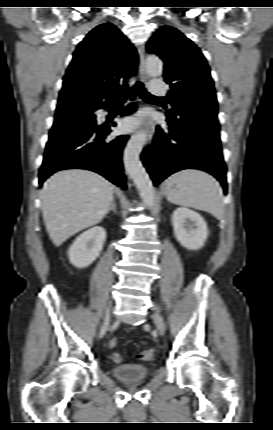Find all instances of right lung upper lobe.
Here are the masks:
<instances>
[{
    "mask_svg": "<svg viewBox=\"0 0 273 430\" xmlns=\"http://www.w3.org/2000/svg\"><path fill=\"white\" fill-rule=\"evenodd\" d=\"M138 56L129 40L111 23L94 28L77 46L59 94L58 107L71 100L91 106L110 103L126 68L137 71Z\"/></svg>",
    "mask_w": 273,
    "mask_h": 430,
    "instance_id": "obj_1",
    "label": "right lung upper lobe"
}]
</instances>
